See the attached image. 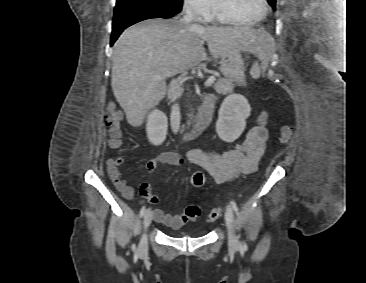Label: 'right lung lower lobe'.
I'll use <instances>...</instances> for the list:
<instances>
[{
  "label": "right lung lower lobe",
  "mask_w": 366,
  "mask_h": 283,
  "mask_svg": "<svg viewBox=\"0 0 366 283\" xmlns=\"http://www.w3.org/2000/svg\"><path fill=\"white\" fill-rule=\"evenodd\" d=\"M174 15H176V13L169 12L160 6L153 4L143 6L126 5L115 7L111 34V46L124 29L137 22L150 18H171Z\"/></svg>",
  "instance_id": "1"
}]
</instances>
